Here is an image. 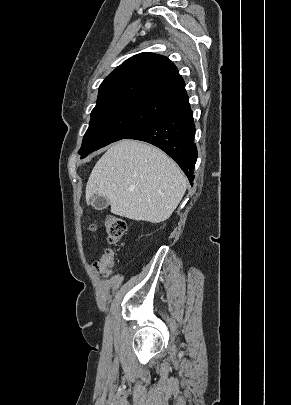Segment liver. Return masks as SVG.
Returning a JSON list of instances; mask_svg holds the SVG:
<instances>
[{"label":"liver","mask_w":291,"mask_h":405,"mask_svg":"<svg viewBox=\"0 0 291 405\" xmlns=\"http://www.w3.org/2000/svg\"><path fill=\"white\" fill-rule=\"evenodd\" d=\"M186 186L185 175L163 151L124 139L110 146L96 163L85 197L88 205L96 195L105 197L115 215L160 223L174 212Z\"/></svg>","instance_id":"liver-1"}]
</instances>
